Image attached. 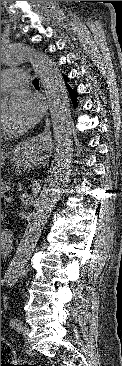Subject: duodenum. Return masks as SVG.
Segmentation results:
<instances>
[{
	"mask_svg": "<svg viewBox=\"0 0 122 366\" xmlns=\"http://www.w3.org/2000/svg\"><path fill=\"white\" fill-rule=\"evenodd\" d=\"M12 240L13 238L10 233H1V251L10 249Z\"/></svg>",
	"mask_w": 122,
	"mask_h": 366,
	"instance_id": "duodenum-1",
	"label": "duodenum"
}]
</instances>
